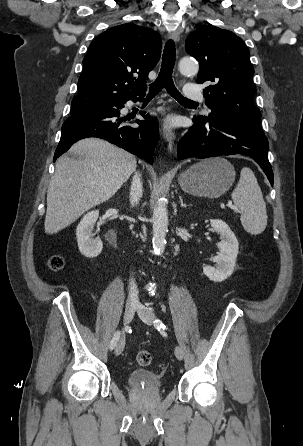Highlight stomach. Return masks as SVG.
<instances>
[{"instance_id":"1","label":"stomach","mask_w":303,"mask_h":446,"mask_svg":"<svg viewBox=\"0 0 303 446\" xmlns=\"http://www.w3.org/2000/svg\"><path fill=\"white\" fill-rule=\"evenodd\" d=\"M235 180L233 165L224 158L202 160L178 177L180 187L186 193L217 198L232 186Z\"/></svg>"}]
</instances>
